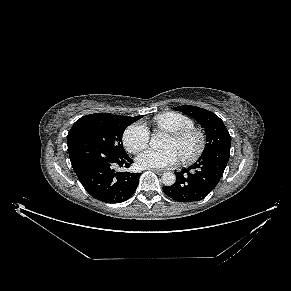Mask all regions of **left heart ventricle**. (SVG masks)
Returning a JSON list of instances; mask_svg holds the SVG:
<instances>
[{
  "label": "left heart ventricle",
  "mask_w": 291,
  "mask_h": 291,
  "mask_svg": "<svg viewBox=\"0 0 291 291\" xmlns=\"http://www.w3.org/2000/svg\"><path fill=\"white\" fill-rule=\"evenodd\" d=\"M196 146V139L194 137H190L184 141H177L171 135L168 136L164 143V147L169 148L173 147L177 150L179 156H183L189 154L194 150Z\"/></svg>",
  "instance_id": "1"
}]
</instances>
